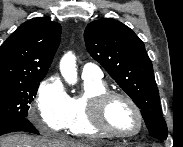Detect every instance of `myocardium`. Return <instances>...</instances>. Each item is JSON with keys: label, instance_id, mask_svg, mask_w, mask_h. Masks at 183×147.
Here are the masks:
<instances>
[{"label": "myocardium", "instance_id": "f54148a6", "mask_svg": "<svg viewBox=\"0 0 183 147\" xmlns=\"http://www.w3.org/2000/svg\"><path fill=\"white\" fill-rule=\"evenodd\" d=\"M115 98H121L125 100L133 108L138 121L139 128L134 133H121L113 129L106 118V108L110 101ZM89 118L91 124L104 134L123 138L131 139L139 136L144 129V117L136 102L127 94L117 91H105L100 94L93 96L89 101Z\"/></svg>", "mask_w": 183, "mask_h": 147}]
</instances>
